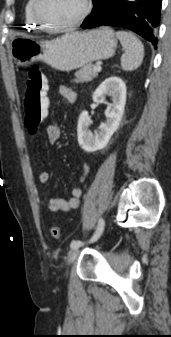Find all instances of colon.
Here are the masks:
<instances>
[{"instance_id":"colon-1","label":"colon","mask_w":171,"mask_h":337,"mask_svg":"<svg viewBox=\"0 0 171 337\" xmlns=\"http://www.w3.org/2000/svg\"><path fill=\"white\" fill-rule=\"evenodd\" d=\"M46 91V78L38 65H32L28 70L27 88L25 93V126L34 133L44 116L49 115V94ZM50 235L59 239L61 229L57 225H52L49 229Z\"/></svg>"}]
</instances>
